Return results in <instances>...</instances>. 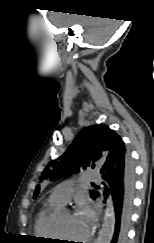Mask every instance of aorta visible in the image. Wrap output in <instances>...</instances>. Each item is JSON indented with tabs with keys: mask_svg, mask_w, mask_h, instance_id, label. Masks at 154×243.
Masks as SVG:
<instances>
[{
	"mask_svg": "<svg viewBox=\"0 0 154 243\" xmlns=\"http://www.w3.org/2000/svg\"><path fill=\"white\" fill-rule=\"evenodd\" d=\"M114 227V209L109 198L104 212L103 224L96 243H111Z\"/></svg>",
	"mask_w": 154,
	"mask_h": 243,
	"instance_id": "obj_1",
	"label": "aorta"
}]
</instances>
